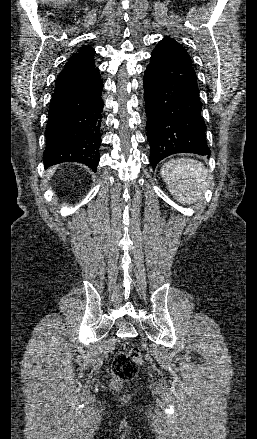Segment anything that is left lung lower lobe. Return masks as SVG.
I'll list each match as a JSON object with an SVG mask.
<instances>
[{
    "label": "left lung lower lobe",
    "mask_w": 257,
    "mask_h": 439,
    "mask_svg": "<svg viewBox=\"0 0 257 439\" xmlns=\"http://www.w3.org/2000/svg\"><path fill=\"white\" fill-rule=\"evenodd\" d=\"M144 89L153 169L176 153L209 157L197 77L187 51L174 39L164 38L154 48L145 70Z\"/></svg>",
    "instance_id": "1"
}]
</instances>
